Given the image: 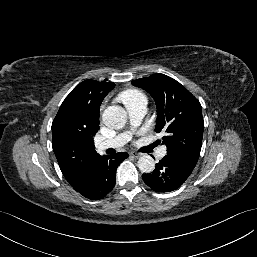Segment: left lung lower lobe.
Listing matches in <instances>:
<instances>
[{"mask_svg": "<svg viewBox=\"0 0 257 257\" xmlns=\"http://www.w3.org/2000/svg\"><path fill=\"white\" fill-rule=\"evenodd\" d=\"M194 167L177 156L167 154L156 164L152 173L143 174L142 178L156 192H169L179 188L192 173Z\"/></svg>", "mask_w": 257, "mask_h": 257, "instance_id": "1", "label": "left lung lower lobe"}]
</instances>
